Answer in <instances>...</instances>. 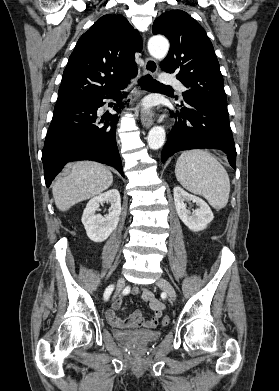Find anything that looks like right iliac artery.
Wrapping results in <instances>:
<instances>
[{
	"label": "right iliac artery",
	"mask_w": 279,
	"mask_h": 391,
	"mask_svg": "<svg viewBox=\"0 0 279 391\" xmlns=\"http://www.w3.org/2000/svg\"><path fill=\"white\" fill-rule=\"evenodd\" d=\"M114 289V285H110L106 288L105 292H104V299L107 300L110 296V294L112 293Z\"/></svg>",
	"instance_id": "right-iliac-artery-1"
}]
</instances>
